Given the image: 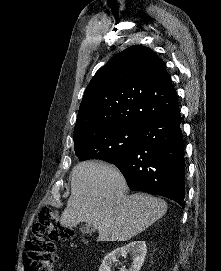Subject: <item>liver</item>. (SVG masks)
Instances as JSON below:
<instances>
[{"instance_id":"obj_1","label":"liver","mask_w":221,"mask_h":271,"mask_svg":"<svg viewBox=\"0 0 221 271\" xmlns=\"http://www.w3.org/2000/svg\"><path fill=\"white\" fill-rule=\"evenodd\" d=\"M121 171L104 161H79L71 171V195L61 215L64 227L86 221L98 229L97 241H127L167 211L161 197L125 195Z\"/></svg>"}]
</instances>
